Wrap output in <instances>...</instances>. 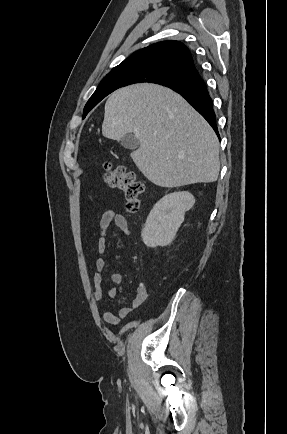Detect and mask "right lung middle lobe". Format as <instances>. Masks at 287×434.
<instances>
[{
  "instance_id": "1",
  "label": "right lung middle lobe",
  "mask_w": 287,
  "mask_h": 434,
  "mask_svg": "<svg viewBox=\"0 0 287 434\" xmlns=\"http://www.w3.org/2000/svg\"><path fill=\"white\" fill-rule=\"evenodd\" d=\"M180 76L174 73L147 68L130 72L115 73L106 76L90 97L84 108L83 118L93 109L103 98L118 88L134 83H161L165 81H177Z\"/></svg>"
}]
</instances>
